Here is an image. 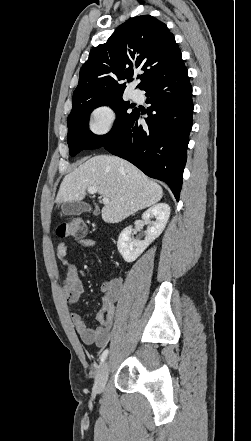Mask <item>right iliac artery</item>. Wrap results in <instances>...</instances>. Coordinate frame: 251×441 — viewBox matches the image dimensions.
<instances>
[{"label":"right iliac artery","mask_w":251,"mask_h":441,"mask_svg":"<svg viewBox=\"0 0 251 441\" xmlns=\"http://www.w3.org/2000/svg\"><path fill=\"white\" fill-rule=\"evenodd\" d=\"M107 355H108V349L104 350V352L101 354V357H100L101 364L105 361Z\"/></svg>","instance_id":"obj_1"}]
</instances>
